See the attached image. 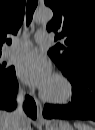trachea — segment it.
<instances>
[{"label": "trachea", "instance_id": "obj_1", "mask_svg": "<svg viewBox=\"0 0 95 130\" xmlns=\"http://www.w3.org/2000/svg\"><path fill=\"white\" fill-rule=\"evenodd\" d=\"M38 5V0H27V6H26V19H27V25L32 20L33 13Z\"/></svg>", "mask_w": 95, "mask_h": 130}]
</instances>
